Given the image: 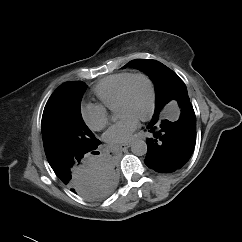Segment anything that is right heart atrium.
<instances>
[{"instance_id": "1", "label": "right heart atrium", "mask_w": 242, "mask_h": 242, "mask_svg": "<svg viewBox=\"0 0 242 242\" xmlns=\"http://www.w3.org/2000/svg\"><path fill=\"white\" fill-rule=\"evenodd\" d=\"M79 113L85 125L93 130H102L108 123V111L101 104L82 103Z\"/></svg>"}]
</instances>
